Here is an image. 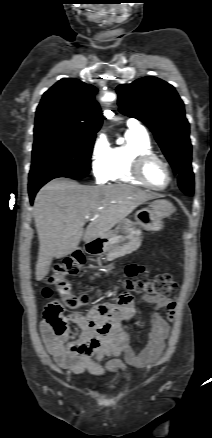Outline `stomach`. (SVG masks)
I'll use <instances>...</instances> for the list:
<instances>
[{
	"mask_svg": "<svg viewBox=\"0 0 212 438\" xmlns=\"http://www.w3.org/2000/svg\"><path fill=\"white\" fill-rule=\"evenodd\" d=\"M175 211L174 206L166 200H155L150 203L149 207L140 209L135 214L137 225L147 231L158 232L163 230V219L171 216ZM134 223L124 219L118 223L113 231H110L103 238L104 249L110 250L117 247L134 236Z\"/></svg>",
	"mask_w": 212,
	"mask_h": 438,
	"instance_id": "0dacf381",
	"label": "stomach"
}]
</instances>
